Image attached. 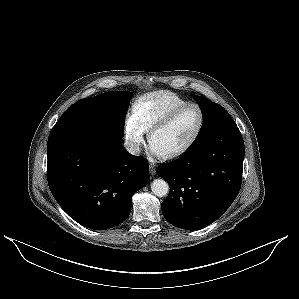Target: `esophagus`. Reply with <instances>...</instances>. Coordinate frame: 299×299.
Here are the masks:
<instances>
[{"label": "esophagus", "instance_id": "34e87169", "mask_svg": "<svg viewBox=\"0 0 299 299\" xmlns=\"http://www.w3.org/2000/svg\"><path fill=\"white\" fill-rule=\"evenodd\" d=\"M149 173L152 176H154L156 174V169H155V167L152 164L149 165Z\"/></svg>", "mask_w": 299, "mask_h": 299}]
</instances>
